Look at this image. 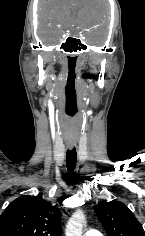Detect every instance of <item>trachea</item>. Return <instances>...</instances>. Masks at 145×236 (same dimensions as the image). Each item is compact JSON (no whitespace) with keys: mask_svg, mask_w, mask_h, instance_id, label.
<instances>
[{"mask_svg":"<svg viewBox=\"0 0 145 236\" xmlns=\"http://www.w3.org/2000/svg\"><path fill=\"white\" fill-rule=\"evenodd\" d=\"M77 163V153L75 147L72 150H67L66 166L70 173H73Z\"/></svg>","mask_w":145,"mask_h":236,"instance_id":"3493384b","label":"trachea"}]
</instances>
